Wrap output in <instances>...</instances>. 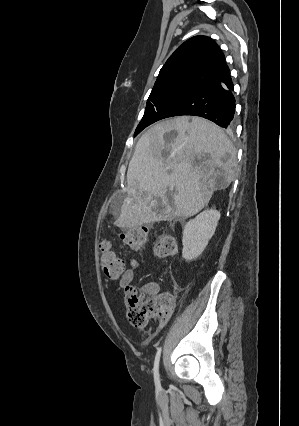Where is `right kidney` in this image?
<instances>
[{"label":"right kidney","mask_w":299,"mask_h":426,"mask_svg":"<svg viewBox=\"0 0 299 426\" xmlns=\"http://www.w3.org/2000/svg\"><path fill=\"white\" fill-rule=\"evenodd\" d=\"M220 216L215 209L205 210L185 224L182 237L185 260H194L202 254L215 233Z\"/></svg>","instance_id":"ca27d5eb"}]
</instances>
